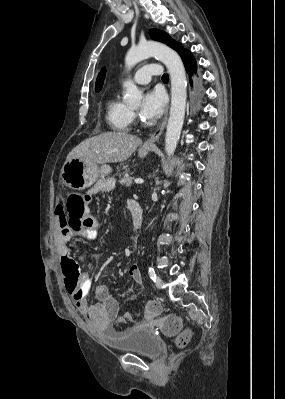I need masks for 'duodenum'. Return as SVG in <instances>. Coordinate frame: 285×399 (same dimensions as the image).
Segmentation results:
<instances>
[{
	"label": "duodenum",
	"mask_w": 285,
	"mask_h": 399,
	"mask_svg": "<svg viewBox=\"0 0 285 399\" xmlns=\"http://www.w3.org/2000/svg\"><path fill=\"white\" fill-rule=\"evenodd\" d=\"M132 224L136 231H138L143 222L142 208L140 205H134L131 209Z\"/></svg>",
	"instance_id": "duodenum-1"
}]
</instances>
